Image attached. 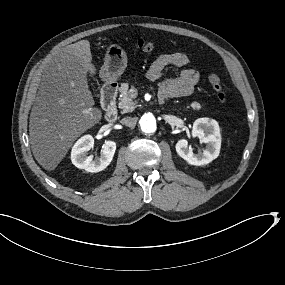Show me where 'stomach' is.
<instances>
[{"mask_svg":"<svg viewBox=\"0 0 285 285\" xmlns=\"http://www.w3.org/2000/svg\"><path fill=\"white\" fill-rule=\"evenodd\" d=\"M127 53L119 44H110L104 55V65L101 74L104 80L111 81L118 78L126 69Z\"/></svg>","mask_w":285,"mask_h":285,"instance_id":"stomach-1","label":"stomach"}]
</instances>
